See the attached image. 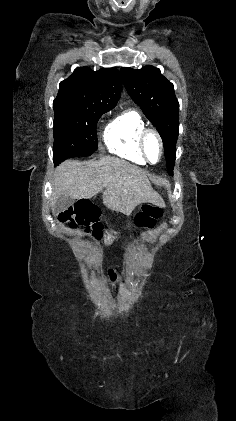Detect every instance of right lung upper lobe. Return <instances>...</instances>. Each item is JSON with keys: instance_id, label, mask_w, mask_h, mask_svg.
Returning <instances> with one entry per match:
<instances>
[{"instance_id": "obj_1", "label": "right lung upper lobe", "mask_w": 236, "mask_h": 421, "mask_svg": "<svg viewBox=\"0 0 236 421\" xmlns=\"http://www.w3.org/2000/svg\"><path fill=\"white\" fill-rule=\"evenodd\" d=\"M122 83L115 68L92 71L87 67L77 68L59 85L55 100L91 103L108 108L115 107L121 93Z\"/></svg>"}]
</instances>
